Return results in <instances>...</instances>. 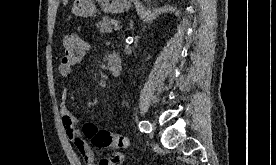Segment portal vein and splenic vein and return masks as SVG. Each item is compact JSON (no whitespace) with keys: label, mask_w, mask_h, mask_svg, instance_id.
I'll use <instances>...</instances> for the list:
<instances>
[{"label":"portal vein and splenic vein","mask_w":276,"mask_h":165,"mask_svg":"<svg viewBox=\"0 0 276 165\" xmlns=\"http://www.w3.org/2000/svg\"><path fill=\"white\" fill-rule=\"evenodd\" d=\"M113 25H114V30H120L121 29V26H120L119 22H113Z\"/></svg>","instance_id":"obj_1"}]
</instances>
